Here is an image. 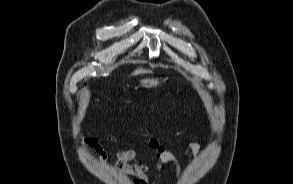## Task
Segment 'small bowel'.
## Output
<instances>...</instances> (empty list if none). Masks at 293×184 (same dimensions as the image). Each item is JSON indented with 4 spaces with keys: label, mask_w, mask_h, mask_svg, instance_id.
I'll list each match as a JSON object with an SVG mask.
<instances>
[{
    "label": "small bowel",
    "mask_w": 293,
    "mask_h": 184,
    "mask_svg": "<svg viewBox=\"0 0 293 184\" xmlns=\"http://www.w3.org/2000/svg\"><path fill=\"white\" fill-rule=\"evenodd\" d=\"M104 139L116 146L117 161L113 172L118 174L131 171L135 175L132 184H157L160 173L166 164H172L174 166L175 178L177 181L180 180L182 167L179 160L172 152L167 150L158 139L151 138L149 140V145L155 152L154 161L151 165L137 160L136 153L133 150L118 147L115 137L105 135ZM82 141L97 153L101 163L105 162L107 153L97 138L87 136L83 137ZM199 149L200 146L198 143L193 142L190 144V150L193 156H197ZM150 173H153L152 179L149 178Z\"/></svg>",
    "instance_id": "1"
}]
</instances>
